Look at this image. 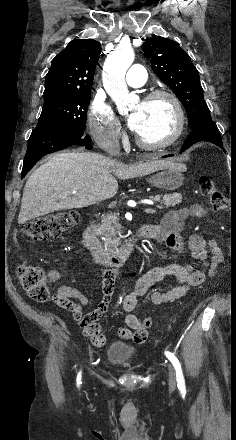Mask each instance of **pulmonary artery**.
Listing matches in <instances>:
<instances>
[{
  "mask_svg": "<svg viewBox=\"0 0 236 440\" xmlns=\"http://www.w3.org/2000/svg\"><path fill=\"white\" fill-rule=\"evenodd\" d=\"M146 78V69L141 65L135 64L128 70L126 82L130 87H140L145 84Z\"/></svg>",
  "mask_w": 236,
  "mask_h": 440,
  "instance_id": "e3ab8cb5",
  "label": "pulmonary artery"
}]
</instances>
